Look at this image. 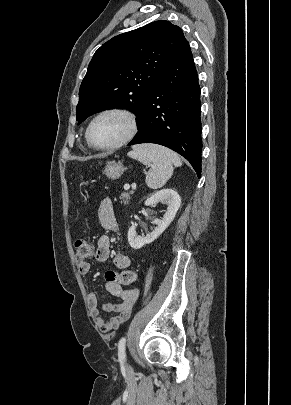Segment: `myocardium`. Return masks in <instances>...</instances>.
Masks as SVG:
<instances>
[{
    "mask_svg": "<svg viewBox=\"0 0 291 405\" xmlns=\"http://www.w3.org/2000/svg\"><path fill=\"white\" fill-rule=\"evenodd\" d=\"M109 114H116L124 117L128 123V131L127 133L117 142L107 145V146H96L92 143L90 132L93 124L102 116L109 115ZM138 132V121L136 115L129 109L122 108V107H109L99 111L94 117L90 120L87 125L85 131V138L87 145L97 151H110L121 148L122 146L128 144L137 134Z\"/></svg>",
    "mask_w": 291,
    "mask_h": 405,
    "instance_id": "myocardium-1",
    "label": "myocardium"
}]
</instances>
